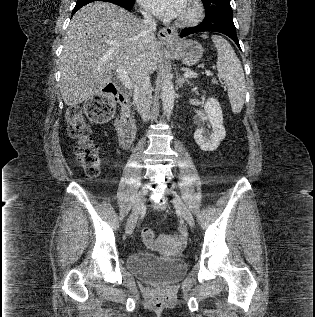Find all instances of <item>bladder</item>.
Returning a JSON list of instances; mask_svg holds the SVG:
<instances>
[{
	"instance_id": "1",
	"label": "bladder",
	"mask_w": 315,
	"mask_h": 317,
	"mask_svg": "<svg viewBox=\"0 0 315 317\" xmlns=\"http://www.w3.org/2000/svg\"><path fill=\"white\" fill-rule=\"evenodd\" d=\"M127 268L145 282L168 284L176 281L186 272L187 263L182 259L137 252L128 256Z\"/></svg>"
}]
</instances>
